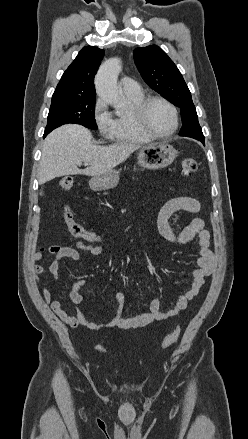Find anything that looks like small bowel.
Masks as SVG:
<instances>
[{"mask_svg":"<svg viewBox=\"0 0 248 439\" xmlns=\"http://www.w3.org/2000/svg\"><path fill=\"white\" fill-rule=\"evenodd\" d=\"M178 211H187L191 213H199L201 211V204L195 198L189 196L184 190L182 195L169 199L161 207L157 216V228L162 238L168 242L187 244L193 240H198V257L196 259V268L192 273V280L190 288L179 296L173 308L162 310L160 308L159 299H153L147 309L140 311L134 316L124 315V295L116 293L115 308L112 317L105 323L98 324L90 321L79 310H75V314H68L62 307L59 300L53 299L50 289L47 285L43 287V299L49 305L51 310L68 326L75 328L83 326L92 330H101L107 328H121L133 329L146 327L158 321L168 320L187 309L189 303L198 295L202 288L205 278L211 275L215 268L214 254L210 249V233L205 229V222L202 218H194L187 226L179 231H175L171 224L170 218ZM156 243L153 248H156ZM79 251H84L95 256L103 255V249L98 245H93L85 241H77L70 245H54L48 249L53 259L45 268L42 265H35L33 267V275L38 281V276L48 272L54 279L60 276V262L63 259H70L75 262L81 260ZM45 258L43 250L36 251L33 255V260L41 262ZM84 279H78L74 282L69 291L70 301L74 305H81L85 302L84 296L80 290L85 285Z\"/></svg>","mask_w":248,"mask_h":439,"instance_id":"small-bowel-1","label":"small bowel"}]
</instances>
